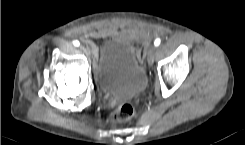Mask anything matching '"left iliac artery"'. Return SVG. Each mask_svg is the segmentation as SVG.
<instances>
[{
	"instance_id": "left-iliac-artery-1",
	"label": "left iliac artery",
	"mask_w": 245,
	"mask_h": 145,
	"mask_svg": "<svg viewBox=\"0 0 245 145\" xmlns=\"http://www.w3.org/2000/svg\"><path fill=\"white\" fill-rule=\"evenodd\" d=\"M161 43V40L159 38H157L155 41H154V45L155 46H159Z\"/></svg>"
}]
</instances>
